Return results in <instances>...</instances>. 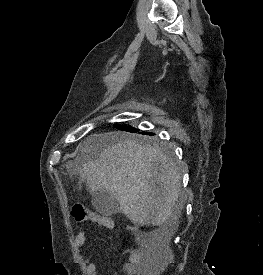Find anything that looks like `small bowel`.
Segmentation results:
<instances>
[{
    "instance_id": "obj_1",
    "label": "small bowel",
    "mask_w": 263,
    "mask_h": 275,
    "mask_svg": "<svg viewBox=\"0 0 263 275\" xmlns=\"http://www.w3.org/2000/svg\"><path fill=\"white\" fill-rule=\"evenodd\" d=\"M98 216V215H97ZM102 221L95 222L104 227H111V222L99 216ZM87 238V231L81 230L75 237L74 243L77 248H81ZM135 240L138 244L137 248L128 250L129 262L125 265L124 273L126 275H149V258L147 256V246L144 244L142 238L135 234ZM84 271L86 275H97V267L95 263L85 262Z\"/></svg>"
}]
</instances>
